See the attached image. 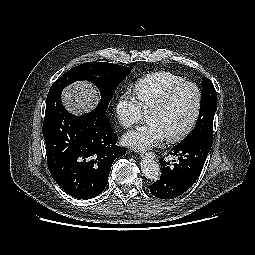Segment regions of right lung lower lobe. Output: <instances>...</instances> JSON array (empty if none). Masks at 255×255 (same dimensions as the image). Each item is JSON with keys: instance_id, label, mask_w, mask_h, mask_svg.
Wrapping results in <instances>:
<instances>
[{"instance_id": "1", "label": "right lung lower lobe", "mask_w": 255, "mask_h": 255, "mask_svg": "<svg viewBox=\"0 0 255 255\" xmlns=\"http://www.w3.org/2000/svg\"><path fill=\"white\" fill-rule=\"evenodd\" d=\"M43 136L48 169L57 184L78 199H90L106 187L113 161L126 153L105 114L97 109L75 116L61 92L47 99Z\"/></svg>"}]
</instances>
